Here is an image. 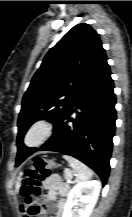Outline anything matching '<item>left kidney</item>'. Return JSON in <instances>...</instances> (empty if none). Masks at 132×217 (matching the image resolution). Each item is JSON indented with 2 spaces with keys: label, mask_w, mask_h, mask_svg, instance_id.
<instances>
[{
  "label": "left kidney",
  "mask_w": 132,
  "mask_h": 217,
  "mask_svg": "<svg viewBox=\"0 0 132 217\" xmlns=\"http://www.w3.org/2000/svg\"><path fill=\"white\" fill-rule=\"evenodd\" d=\"M100 188L101 184L97 180L76 184L68 195L62 217H89L97 202Z\"/></svg>",
  "instance_id": "left-kidney-1"
}]
</instances>
